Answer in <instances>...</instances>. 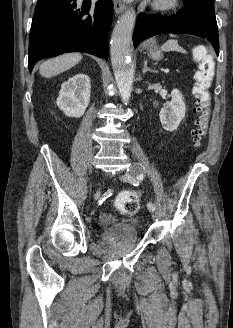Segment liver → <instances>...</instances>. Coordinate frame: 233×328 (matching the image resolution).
Masks as SVG:
<instances>
[{"label": "liver", "instance_id": "1", "mask_svg": "<svg viewBox=\"0 0 233 328\" xmlns=\"http://www.w3.org/2000/svg\"><path fill=\"white\" fill-rule=\"evenodd\" d=\"M81 59L82 55L79 53H67L60 55L42 63L39 68V73L45 78L53 77L70 69L81 61Z\"/></svg>", "mask_w": 233, "mask_h": 328}]
</instances>
